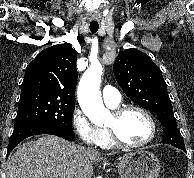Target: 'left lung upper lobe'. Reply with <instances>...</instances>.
Returning <instances> with one entry per match:
<instances>
[{
    "mask_svg": "<svg viewBox=\"0 0 194 178\" xmlns=\"http://www.w3.org/2000/svg\"><path fill=\"white\" fill-rule=\"evenodd\" d=\"M114 76L125 94L141 107L157 114L164 127L177 126L167 84L159 67L136 49L121 52L113 65Z\"/></svg>",
    "mask_w": 194,
    "mask_h": 178,
    "instance_id": "5c2ea615",
    "label": "left lung upper lobe"
}]
</instances>
